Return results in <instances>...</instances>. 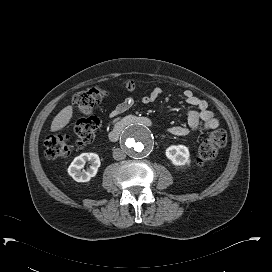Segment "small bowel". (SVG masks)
Masks as SVG:
<instances>
[{"label": "small bowel", "instance_id": "small-bowel-1", "mask_svg": "<svg viewBox=\"0 0 272 272\" xmlns=\"http://www.w3.org/2000/svg\"><path fill=\"white\" fill-rule=\"evenodd\" d=\"M162 90L160 88L153 89L149 94L142 97L144 104L155 102L161 95ZM185 102L195 109H189L186 113L188 126H173L169 129V132L175 136H185L191 132L198 133L201 130H211L220 126V119L209 108L208 103L196 96L191 90L184 91ZM134 101L131 97L125 98L119 103L111 112V117L122 114L130 109Z\"/></svg>", "mask_w": 272, "mask_h": 272}]
</instances>
